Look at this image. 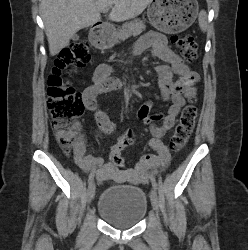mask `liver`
<instances>
[{
	"label": "liver",
	"instance_id": "6515ba94",
	"mask_svg": "<svg viewBox=\"0 0 248 250\" xmlns=\"http://www.w3.org/2000/svg\"><path fill=\"white\" fill-rule=\"evenodd\" d=\"M153 0H42L40 3L51 56L68 46L80 29L101 20L100 12L113 5L109 19L121 22L140 15Z\"/></svg>",
	"mask_w": 248,
	"mask_h": 250
}]
</instances>
